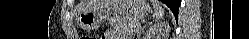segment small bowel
I'll return each instance as SVG.
<instances>
[{"label":"small bowel","mask_w":249,"mask_h":39,"mask_svg":"<svg viewBox=\"0 0 249 39\" xmlns=\"http://www.w3.org/2000/svg\"><path fill=\"white\" fill-rule=\"evenodd\" d=\"M116 34L113 30H108L105 35L102 37V39H116Z\"/></svg>","instance_id":"1"}]
</instances>
